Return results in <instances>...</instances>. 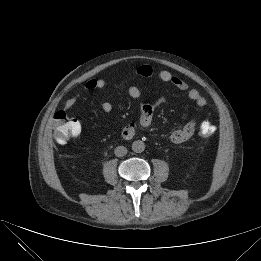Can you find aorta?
<instances>
[{
  "label": "aorta",
  "instance_id": "762f6f07",
  "mask_svg": "<svg viewBox=\"0 0 261 261\" xmlns=\"http://www.w3.org/2000/svg\"><path fill=\"white\" fill-rule=\"evenodd\" d=\"M132 150L135 153H141L145 150V144L141 140H136L132 143Z\"/></svg>",
  "mask_w": 261,
  "mask_h": 261
}]
</instances>
